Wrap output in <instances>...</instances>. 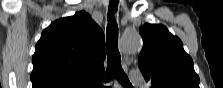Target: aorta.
<instances>
[{"instance_id":"aorta-1","label":"aorta","mask_w":223,"mask_h":88,"mask_svg":"<svg viewBox=\"0 0 223 88\" xmlns=\"http://www.w3.org/2000/svg\"><path fill=\"white\" fill-rule=\"evenodd\" d=\"M142 39L137 33H126L121 38V50L124 53H130L140 50Z\"/></svg>"}]
</instances>
